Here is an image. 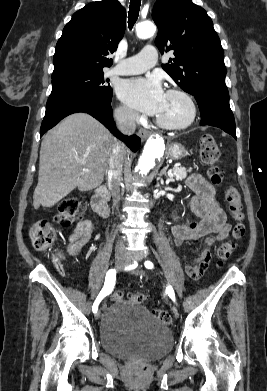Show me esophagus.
I'll use <instances>...</instances> for the list:
<instances>
[{"label": "esophagus", "mask_w": 267, "mask_h": 391, "mask_svg": "<svg viewBox=\"0 0 267 391\" xmlns=\"http://www.w3.org/2000/svg\"><path fill=\"white\" fill-rule=\"evenodd\" d=\"M138 134H139V137L142 140H146L148 138V136L150 135V132L148 130H145V129H140Z\"/></svg>", "instance_id": "1"}]
</instances>
